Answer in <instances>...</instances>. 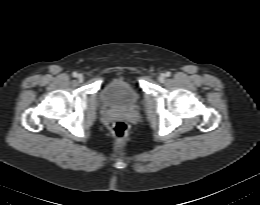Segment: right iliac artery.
<instances>
[{
  "label": "right iliac artery",
  "mask_w": 260,
  "mask_h": 205,
  "mask_svg": "<svg viewBox=\"0 0 260 205\" xmlns=\"http://www.w3.org/2000/svg\"><path fill=\"white\" fill-rule=\"evenodd\" d=\"M72 76H73V77H77V76H78L77 72H73V73H72Z\"/></svg>",
  "instance_id": "1"
}]
</instances>
